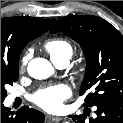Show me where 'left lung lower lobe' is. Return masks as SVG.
<instances>
[{
	"label": "left lung lower lobe",
	"mask_w": 123,
	"mask_h": 123,
	"mask_svg": "<svg viewBox=\"0 0 123 123\" xmlns=\"http://www.w3.org/2000/svg\"><path fill=\"white\" fill-rule=\"evenodd\" d=\"M95 106L97 117L90 119L89 123H123V99H105ZM71 118L75 123H88V121H85V115H75Z\"/></svg>",
	"instance_id": "obj_1"
}]
</instances>
